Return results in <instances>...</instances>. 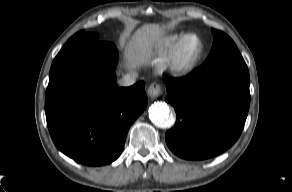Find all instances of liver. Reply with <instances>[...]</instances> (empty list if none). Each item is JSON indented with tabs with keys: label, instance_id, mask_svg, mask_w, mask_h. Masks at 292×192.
Listing matches in <instances>:
<instances>
[{
	"label": "liver",
	"instance_id": "obj_1",
	"mask_svg": "<svg viewBox=\"0 0 292 192\" xmlns=\"http://www.w3.org/2000/svg\"><path fill=\"white\" fill-rule=\"evenodd\" d=\"M163 32L159 24H144L138 28L124 48V67L132 72L145 65L153 47L161 44Z\"/></svg>",
	"mask_w": 292,
	"mask_h": 192
}]
</instances>
